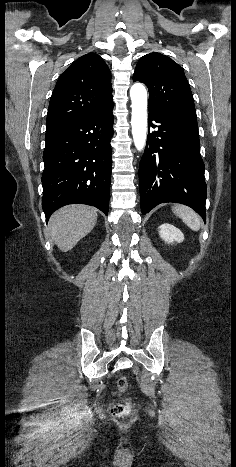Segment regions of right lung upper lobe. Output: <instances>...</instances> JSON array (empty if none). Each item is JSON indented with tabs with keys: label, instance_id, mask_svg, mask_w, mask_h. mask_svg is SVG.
<instances>
[{
	"label": "right lung upper lobe",
	"instance_id": "cb5924a9",
	"mask_svg": "<svg viewBox=\"0 0 236 467\" xmlns=\"http://www.w3.org/2000/svg\"><path fill=\"white\" fill-rule=\"evenodd\" d=\"M112 103L110 70L98 54L88 53L60 75L50 99L46 131L84 119Z\"/></svg>",
	"mask_w": 236,
	"mask_h": 467
}]
</instances>
